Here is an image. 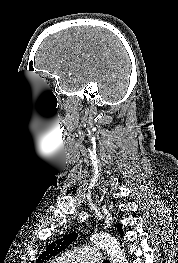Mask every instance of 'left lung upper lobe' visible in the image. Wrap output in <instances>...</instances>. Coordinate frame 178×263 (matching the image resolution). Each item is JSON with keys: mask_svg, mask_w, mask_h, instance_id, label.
<instances>
[{"mask_svg": "<svg viewBox=\"0 0 178 263\" xmlns=\"http://www.w3.org/2000/svg\"><path fill=\"white\" fill-rule=\"evenodd\" d=\"M117 228L118 232L122 230V225L117 224L115 225ZM77 239V234L76 233H70L66 236H64L61 239L56 240L55 242L51 243L46 251H44L36 260L35 263H43L46 260H49L51 257L55 256L56 254L60 253L64 249L67 248V246L75 241Z\"/></svg>", "mask_w": 178, "mask_h": 263, "instance_id": "left-lung-upper-lobe-1", "label": "left lung upper lobe"}]
</instances>
